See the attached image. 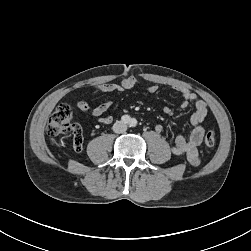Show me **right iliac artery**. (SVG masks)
<instances>
[{"label": "right iliac artery", "instance_id": "right-iliac-artery-1", "mask_svg": "<svg viewBox=\"0 0 251 251\" xmlns=\"http://www.w3.org/2000/svg\"><path fill=\"white\" fill-rule=\"evenodd\" d=\"M121 120H122V122L127 124L130 122V117L128 115H123Z\"/></svg>", "mask_w": 251, "mask_h": 251}]
</instances>
